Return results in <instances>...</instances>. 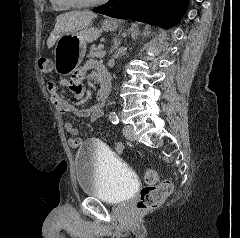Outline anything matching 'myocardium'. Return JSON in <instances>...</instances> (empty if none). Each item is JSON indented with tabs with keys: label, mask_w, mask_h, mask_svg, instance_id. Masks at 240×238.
<instances>
[{
	"label": "myocardium",
	"mask_w": 240,
	"mask_h": 238,
	"mask_svg": "<svg viewBox=\"0 0 240 238\" xmlns=\"http://www.w3.org/2000/svg\"><path fill=\"white\" fill-rule=\"evenodd\" d=\"M109 0H95L93 2L90 3H78V2H73V1H67L66 3L69 6L72 7H82V8H90V7H96V6H100L102 4L107 3Z\"/></svg>",
	"instance_id": "1"
}]
</instances>
